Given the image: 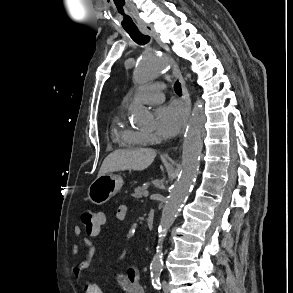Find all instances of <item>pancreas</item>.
<instances>
[{
  "label": "pancreas",
  "mask_w": 293,
  "mask_h": 293,
  "mask_svg": "<svg viewBox=\"0 0 293 293\" xmlns=\"http://www.w3.org/2000/svg\"><path fill=\"white\" fill-rule=\"evenodd\" d=\"M144 191H145V188H143V187H136L134 189V193H132L131 196L133 198L140 199V198H142V195H143Z\"/></svg>",
  "instance_id": "1"
}]
</instances>
